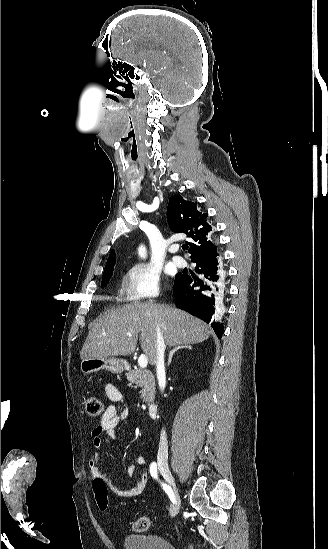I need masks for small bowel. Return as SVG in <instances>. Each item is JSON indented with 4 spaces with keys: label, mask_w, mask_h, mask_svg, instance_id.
Wrapping results in <instances>:
<instances>
[{
    "label": "small bowel",
    "mask_w": 328,
    "mask_h": 549,
    "mask_svg": "<svg viewBox=\"0 0 328 549\" xmlns=\"http://www.w3.org/2000/svg\"><path fill=\"white\" fill-rule=\"evenodd\" d=\"M105 393L108 399L112 402L104 414L101 417L100 423L96 426L91 432L92 439V452L89 458L88 466L90 473L94 479L102 478L104 479L103 474L99 469V463L101 460L100 447L102 445V438L104 435L108 436L111 439H117L118 435L116 432L117 427L128 417L129 410L123 409L119 410L115 403H119L123 400V395L121 391L113 384H107L105 386ZM147 461L143 456H136L132 462L127 465V475L133 477L135 474V465H146ZM148 483V473L144 471L140 478L136 481L134 486L129 489H122L118 486L112 487L114 491L122 496L126 497H136L143 493Z\"/></svg>",
    "instance_id": "small-bowel-1"
}]
</instances>
